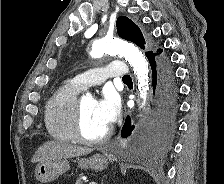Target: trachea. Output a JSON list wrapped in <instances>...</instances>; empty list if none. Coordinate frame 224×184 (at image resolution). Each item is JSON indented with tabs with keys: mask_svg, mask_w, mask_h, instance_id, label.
<instances>
[{
	"mask_svg": "<svg viewBox=\"0 0 224 184\" xmlns=\"http://www.w3.org/2000/svg\"><path fill=\"white\" fill-rule=\"evenodd\" d=\"M122 80L123 81H128V80H131V77L130 76H125V77L122 78Z\"/></svg>",
	"mask_w": 224,
	"mask_h": 184,
	"instance_id": "obj_1",
	"label": "trachea"
}]
</instances>
